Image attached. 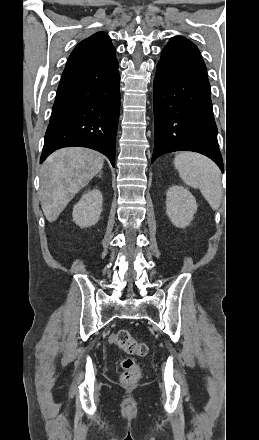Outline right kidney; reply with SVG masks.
<instances>
[{
  "label": "right kidney",
  "instance_id": "obj_1",
  "mask_svg": "<svg viewBox=\"0 0 259 440\" xmlns=\"http://www.w3.org/2000/svg\"><path fill=\"white\" fill-rule=\"evenodd\" d=\"M103 197L98 189L85 193L73 208V221L81 228L98 223L102 213Z\"/></svg>",
  "mask_w": 259,
  "mask_h": 440
}]
</instances>
